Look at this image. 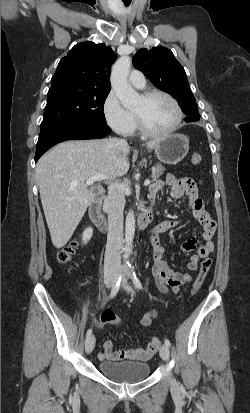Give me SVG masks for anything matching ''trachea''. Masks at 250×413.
<instances>
[{"label": "trachea", "mask_w": 250, "mask_h": 413, "mask_svg": "<svg viewBox=\"0 0 250 413\" xmlns=\"http://www.w3.org/2000/svg\"><path fill=\"white\" fill-rule=\"evenodd\" d=\"M124 4H125V6H129V5H130V3H126V2H124Z\"/></svg>", "instance_id": "trachea-1"}]
</instances>
